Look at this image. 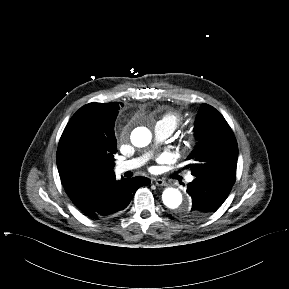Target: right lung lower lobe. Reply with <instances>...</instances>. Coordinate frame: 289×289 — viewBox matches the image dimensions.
Returning a JSON list of instances; mask_svg holds the SVG:
<instances>
[{
	"label": "right lung lower lobe",
	"instance_id": "right-lung-lower-lobe-1",
	"mask_svg": "<svg viewBox=\"0 0 289 289\" xmlns=\"http://www.w3.org/2000/svg\"><path fill=\"white\" fill-rule=\"evenodd\" d=\"M148 184L150 180L145 177L113 180L94 191L89 207L79 209L93 219L112 217L129 205L132 196L140 186Z\"/></svg>",
	"mask_w": 289,
	"mask_h": 289
}]
</instances>
